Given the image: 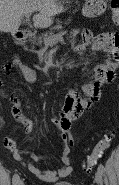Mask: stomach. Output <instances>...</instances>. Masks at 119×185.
Masks as SVG:
<instances>
[{
  "mask_svg": "<svg viewBox=\"0 0 119 185\" xmlns=\"http://www.w3.org/2000/svg\"><path fill=\"white\" fill-rule=\"evenodd\" d=\"M107 4L105 0H86L82 9L85 17L94 18L105 12Z\"/></svg>",
  "mask_w": 119,
  "mask_h": 185,
  "instance_id": "obj_1",
  "label": "stomach"
}]
</instances>
